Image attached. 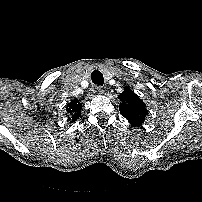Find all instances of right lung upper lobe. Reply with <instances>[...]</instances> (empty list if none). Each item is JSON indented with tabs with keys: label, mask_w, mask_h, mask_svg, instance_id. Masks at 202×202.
<instances>
[{
	"label": "right lung upper lobe",
	"mask_w": 202,
	"mask_h": 202,
	"mask_svg": "<svg viewBox=\"0 0 202 202\" xmlns=\"http://www.w3.org/2000/svg\"><path fill=\"white\" fill-rule=\"evenodd\" d=\"M81 108L82 105L80 104L79 100H72L70 103H68L66 111L68 114L71 115L68 120H77L80 116Z\"/></svg>",
	"instance_id": "right-lung-upper-lobe-1"
}]
</instances>
